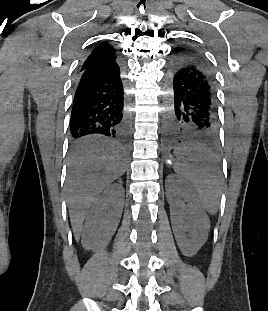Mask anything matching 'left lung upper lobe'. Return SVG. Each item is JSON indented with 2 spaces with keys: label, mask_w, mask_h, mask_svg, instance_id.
I'll return each instance as SVG.
<instances>
[{
  "label": "left lung upper lobe",
  "mask_w": 268,
  "mask_h": 311,
  "mask_svg": "<svg viewBox=\"0 0 268 311\" xmlns=\"http://www.w3.org/2000/svg\"><path fill=\"white\" fill-rule=\"evenodd\" d=\"M195 53L201 54L199 51L192 49ZM202 55V54H201ZM219 118V117H218Z\"/></svg>",
  "instance_id": "5c2ea615"
}]
</instances>
